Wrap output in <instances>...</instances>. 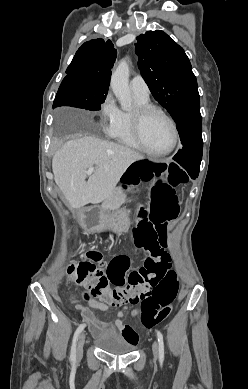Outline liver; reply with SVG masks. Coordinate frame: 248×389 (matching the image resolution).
Returning a JSON list of instances; mask_svg holds the SVG:
<instances>
[{
	"mask_svg": "<svg viewBox=\"0 0 248 389\" xmlns=\"http://www.w3.org/2000/svg\"><path fill=\"white\" fill-rule=\"evenodd\" d=\"M143 159V155L123 145L82 137L66 142L55 153L52 170L69 205L82 208L106 200L126 169ZM94 166V173L86 181L87 170Z\"/></svg>",
	"mask_w": 248,
	"mask_h": 389,
	"instance_id": "6515ba94",
	"label": "liver"
}]
</instances>
